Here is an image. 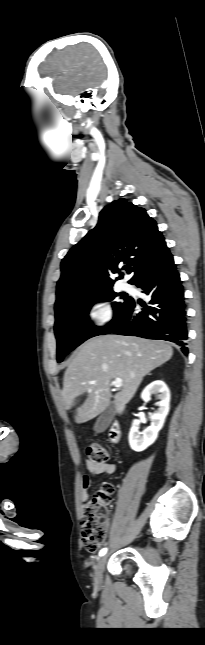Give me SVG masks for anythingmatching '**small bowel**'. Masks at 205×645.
I'll return each instance as SVG.
<instances>
[{"label": "small bowel", "instance_id": "c3829d8e", "mask_svg": "<svg viewBox=\"0 0 205 645\" xmlns=\"http://www.w3.org/2000/svg\"><path fill=\"white\" fill-rule=\"evenodd\" d=\"M85 470L91 475H109L113 474L116 470V466L113 463H105L102 465H95L89 461L85 463ZM82 485V498L86 500L88 498V491L92 485L91 477L88 474H84L81 480Z\"/></svg>", "mask_w": 205, "mask_h": 645}]
</instances>
